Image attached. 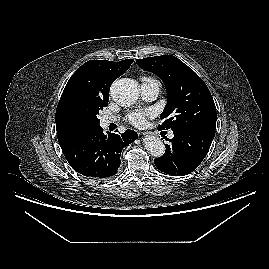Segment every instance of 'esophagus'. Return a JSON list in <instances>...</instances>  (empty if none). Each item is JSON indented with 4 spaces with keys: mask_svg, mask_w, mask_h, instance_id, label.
<instances>
[{
    "mask_svg": "<svg viewBox=\"0 0 269 269\" xmlns=\"http://www.w3.org/2000/svg\"><path fill=\"white\" fill-rule=\"evenodd\" d=\"M142 135H148L150 134L149 132H141Z\"/></svg>",
    "mask_w": 269,
    "mask_h": 269,
    "instance_id": "34e87169",
    "label": "esophagus"
}]
</instances>
